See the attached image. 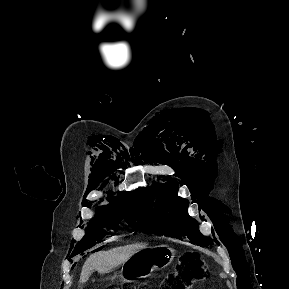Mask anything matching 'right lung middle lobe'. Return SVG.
I'll list each match as a JSON object with an SVG mask.
<instances>
[{"label":"right lung middle lobe","mask_w":289,"mask_h":289,"mask_svg":"<svg viewBox=\"0 0 289 289\" xmlns=\"http://www.w3.org/2000/svg\"><path fill=\"white\" fill-rule=\"evenodd\" d=\"M126 220L135 230L140 227L141 219L136 204L121 203L119 205L100 207L96 216L90 221L86 228V235L77 243L72 256L77 255L102 241L107 231L117 230L121 220ZM71 256V257H72Z\"/></svg>","instance_id":"right-lung-middle-lobe-1"}]
</instances>
